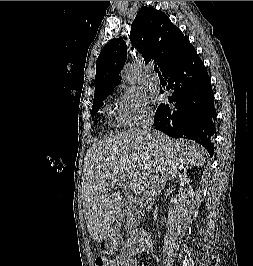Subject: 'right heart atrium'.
I'll return each instance as SVG.
<instances>
[{"label": "right heart atrium", "instance_id": "d8ad5b80", "mask_svg": "<svg viewBox=\"0 0 253 266\" xmlns=\"http://www.w3.org/2000/svg\"><path fill=\"white\" fill-rule=\"evenodd\" d=\"M119 115L124 125L147 121L152 115V108L145 92L135 87H123L119 100Z\"/></svg>", "mask_w": 253, "mask_h": 266}]
</instances>
